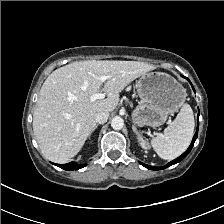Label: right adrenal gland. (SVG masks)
I'll return each mask as SVG.
<instances>
[{"label": "right adrenal gland", "instance_id": "right-adrenal-gland-1", "mask_svg": "<svg viewBox=\"0 0 224 224\" xmlns=\"http://www.w3.org/2000/svg\"><path fill=\"white\" fill-rule=\"evenodd\" d=\"M99 126V124H95L94 125V127H93V129H92V131H91V134L96 130V128ZM91 134H90V136H91Z\"/></svg>", "mask_w": 224, "mask_h": 224}]
</instances>
